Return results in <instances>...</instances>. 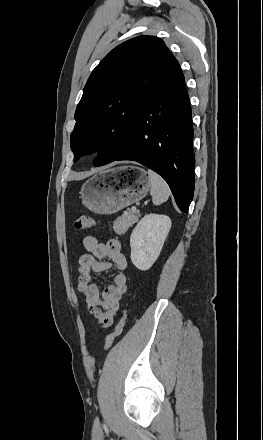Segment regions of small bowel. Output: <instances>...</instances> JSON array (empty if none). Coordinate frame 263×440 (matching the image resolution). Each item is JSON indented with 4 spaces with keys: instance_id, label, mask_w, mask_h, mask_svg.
<instances>
[{
    "instance_id": "1",
    "label": "small bowel",
    "mask_w": 263,
    "mask_h": 440,
    "mask_svg": "<svg viewBox=\"0 0 263 440\" xmlns=\"http://www.w3.org/2000/svg\"><path fill=\"white\" fill-rule=\"evenodd\" d=\"M83 246L88 253L79 258L77 290L84 297L87 310L102 327L113 324L119 310V302L127 291L124 273L128 263L117 239L102 243L95 236H86ZM107 259V260H106ZM116 267L119 272L113 283L102 292L92 281V273H102Z\"/></svg>"
}]
</instances>
